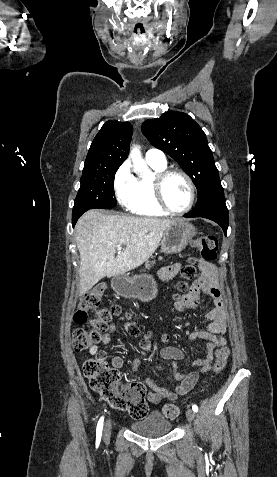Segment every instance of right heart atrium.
Returning a JSON list of instances; mask_svg holds the SVG:
<instances>
[{"instance_id":"right-heart-atrium-1","label":"right heart atrium","mask_w":277,"mask_h":477,"mask_svg":"<svg viewBox=\"0 0 277 477\" xmlns=\"http://www.w3.org/2000/svg\"><path fill=\"white\" fill-rule=\"evenodd\" d=\"M135 178L128 163H123L114 175V189L118 201L126 206L133 194Z\"/></svg>"}]
</instances>
